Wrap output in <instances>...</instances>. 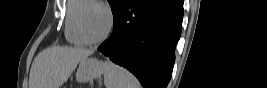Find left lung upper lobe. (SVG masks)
Wrapping results in <instances>:
<instances>
[{"label": "left lung upper lobe", "instance_id": "1", "mask_svg": "<svg viewBox=\"0 0 267 88\" xmlns=\"http://www.w3.org/2000/svg\"><path fill=\"white\" fill-rule=\"evenodd\" d=\"M129 0H108L110 3L114 19L120 14Z\"/></svg>", "mask_w": 267, "mask_h": 88}]
</instances>
